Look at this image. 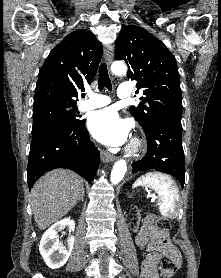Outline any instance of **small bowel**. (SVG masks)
Instances as JSON below:
<instances>
[{"instance_id": "obj_1", "label": "small bowel", "mask_w": 221, "mask_h": 278, "mask_svg": "<svg viewBox=\"0 0 221 278\" xmlns=\"http://www.w3.org/2000/svg\"><path fill=\"white\" fill-rule=\"evenodd\" d=\"M136 244L146 250L142 261L141 278H158L157 265L161 257L173 259L178 265L181 257L177 249L168 240L166 232L161 231L153 224V217L144 218L136 236Z\"/></svg>"}]
</instances>
